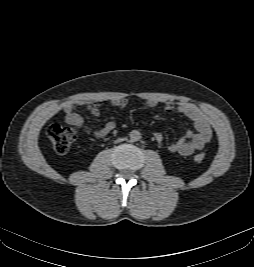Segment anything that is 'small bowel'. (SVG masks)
I'll return each mask as SVG.
<instances>
[{"label": "small bowel", "mask_w": 254, "mask_h": 267, "mask_svg": "<svg viewBox=\"0 0 254 267\" xmlns=\"http://www.w3.org/2000/svg\"><path fill=\"white\" fill-rule=\"evenodd\" d=\"M111 104L119 109H124L128 106L126 98H117L111 101ZM104 103L102 101H95L90 104L84 102L68 103L64 107L65 122L69 125L83 128L84 131L97 138H102L108 135L116 126V122L111 120L105 123L99 129H93L86 126L84 123L83 114L78 110L79 107L85 106L87 112L94 116L100 114V110ZM143 105L148 108H154L158 105L155 99H147ZM163 108L167 112H174L178 115L186 117L194 124L195 132L188 131L186 135L176 142L169 145L170 152L178 153L183 156H189L197 150H201L212 138V129L206 116L195 106L190 104L174 105L171 102H165ZM158 142L162 141L160 133L155 135Z\"/></svg>", "instance_id": "small-bowel-1"}]
</instances>
